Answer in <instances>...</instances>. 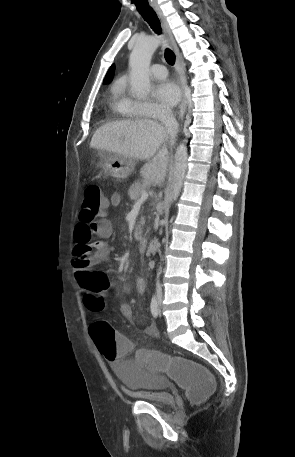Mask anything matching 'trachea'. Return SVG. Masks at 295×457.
Masks as SVG:
<instances>
[{"label": "trachea", "instance_id": "1", "mask_svg": "<svg viewBox=\"0 0 295 457\" xmlns=\"http://www.w3.org/2000/svg\"><path fill=\"white\" fill-rule=\"evenodd\" d=\"M138 11L141 13L143 19L149 24L153 31L157 34H161L162 29L160 26V20L157 17L156 12L147 5H137ZM165 60L169 65H174L175 54L169 48L165 49Z\"/></svg>", "mask_w": 295, "mask_h": 457}]
</instances>
